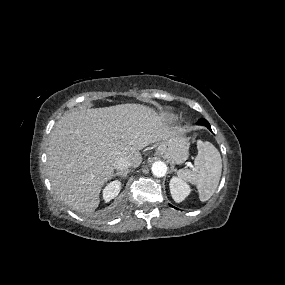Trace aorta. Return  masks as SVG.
I'll return each instance as SVG.
<instances>
[{
  "label": "aorta",
  "mask_w": 285,
  "mask_h": 285,
  "mask_svg": "<svg viewBox=\"0 0 285 285\" xmlns=\"http://www.w3.org/2000/svg\"><path fill=\"white\" fill-rule=\"evenodd\" d=\"M167 172V166L162 161H157L152 164V173L156 177H163Z\"/></svg>",
  "instance_id": "1"
}]
</instances>
